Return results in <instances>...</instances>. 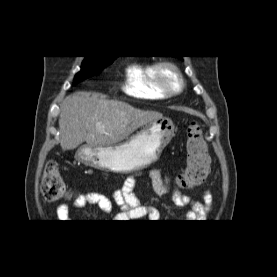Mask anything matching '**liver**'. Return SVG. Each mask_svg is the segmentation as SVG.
<instances>
[{"mask_svg":"<svg viewBox=\"0 0 277 277\" xmlns=\"http://www.w3.org/2000/svg\"><path fill=\"white\" fill-rule=\"evenodd\" d=\"M162 118L159 112L106 100L98 93H75L66 97L61 106L60 145L63 150L75 149L83 142L92 147L115 145L139 127Z\"/></svg>","mask_w":277,"mask_h":277,"instance_id":"liver-1","label":"liver"}]
</instances>
